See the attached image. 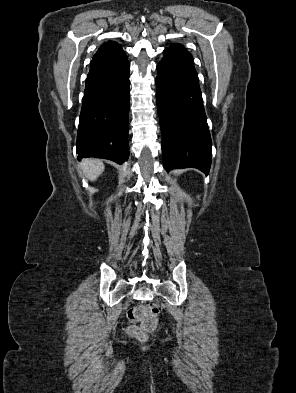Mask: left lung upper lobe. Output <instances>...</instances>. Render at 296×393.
Masks as SVG:
<instances>
[{"instance_id": "obj_1", "label": "left lung upper lobe", "mask_w": 296, "mask_h": 393, "mask_svg": "<svg viewBox=\"0 0 296 393\" xmlns=\"http://www.w3.org/2000/svg\"><path fill=\"white\" fill-rule=\"evenodd\" d=\"M165 50L189 53L180 43H174L169 48H166Z\"/></svg>"}]
</instances>
